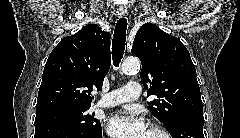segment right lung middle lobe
<instances>
[{"mask_svg": "<svg viewBox=\"0 0 240 138\" xmlns=\"http://www.w3.org/2000/svg\"><path fill=\"white\" fill-rule=\"evenodd\" d=\"M89 108H64L38 114L35 118V127L64 124L85 134L98 133L101 131V123L93 117L94 114H87Z\"/></svg>", "mask_w": 240, "mask_h": 138, "instance_id": "obj_1", "label": "right lung middle lobe"}]
</instances>
